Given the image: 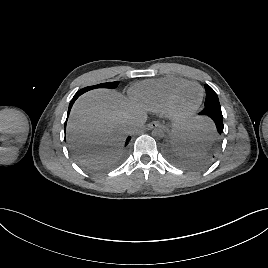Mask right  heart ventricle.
I'll use <instances>...</instances> for the list:
<instances>
[{"instance_id": "obj_1", "label": "right heart ventricle", "mask_w": 268, "mask_h": 268, "mask_svg": "<svg viewBox=\"0 0 268 268\" xmlns=\"http://www.w3.org/2000/svg\"><path fill=\"white\" fill-rule=\"evenodd\" d=\"M188 81L178 77H165L140 81L130 90L134 102L149 111H160L165 108L171 92Z\"/></svg>"}]
</instances>
